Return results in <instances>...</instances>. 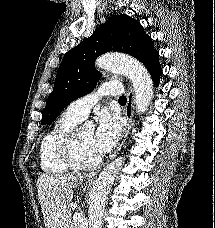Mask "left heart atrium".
Instances as JSON below:
<instances>
[{"label":"left heart atrium","instance_id":"obj_1","mask_svg":"<svg viewBox=\"0 0 215 228\" xmlns=\"http://www.w3.org/2000/svg\"><path fill=\"white\" fill-rule=\"evenodd\" d=\"M120 133L121 128L118 119L106 112L101 113L98 126L93 134V145L100 157L117 143Z\"/></svg>","mask_w":215,"mask_h":228}]
</instances>
